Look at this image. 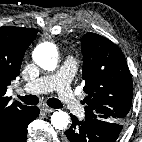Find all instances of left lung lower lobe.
<instances>
[{
	"mask_svg": "<svg viewBox=\"0 0 142 142\" xmlns=\"http://www.w3.org/2000/svg\"><path fill=\"white\" fill-rule=\"evenodd\" d=\"M70 116L72 125L65 131L67 142H115L123 127L121 123L99 119L79 121Z\"/></svg>",
	"mask_w": 142,
	"mask_h": 142,
	"instance_id": "obj_1",
	"label": "left lung lower lobe"
}]
</instances>
